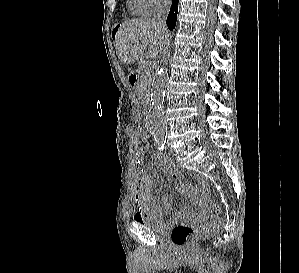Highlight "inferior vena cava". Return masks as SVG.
Returning a JSON list of instances; mask_svg holds the SVG:
<instances>
[{
  "instance_id": "1",
  "label": "inferior vena cava",
  "mask_w": 299,
  "mask_h": 273,
  "mask_svg": "<svg viewBox=\"0 0 299 273\" xmlns=\"http://www.w3.org/2000/svg\"><path fill=\"white\" fill-rule=\"evenodd\" d=\"M171 0H157L155 21L163 29L166 28V18L170 10Z\"/></svg>"
}]
</instances>
